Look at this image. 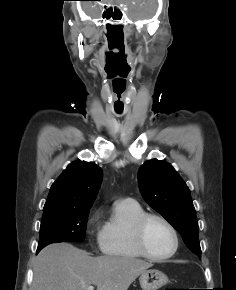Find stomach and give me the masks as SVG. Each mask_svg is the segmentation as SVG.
Listing matches in <instances>:
<instances>
[{"label":"stomach","mask_w":236,"mask_h":290,"mask_svg":"<svg viewBox=\"0 0 236 290\" xmlns=\"http://www.w3.org/2000/svg\"><path fill=\"white\" fill-rule=\"evenodd\" d=\"M139 283L142 290H158L168 283V277L159 270L149 269L140 274Z\"/></svg>","instance_id":"obj_1"}]
</instances>
